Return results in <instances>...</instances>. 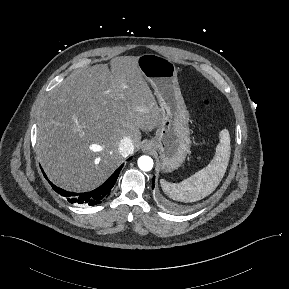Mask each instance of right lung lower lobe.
Segmentation results:
<instances>
[{"label":"right lung lower lobe","instance_id":"obj_1","mask_svg":"<svg viewBox=\"0 0 289 289\" xmlns=\"http://www.w3.org/2000/svg\"><path fill=\"white\" fill-rule=\"evenodd\" d=\"M130 157L128 160H131ZM124 164H122L109 178L103 183L100 187L95 190L84 192V193H72L65 191L54 184L50 183L52 188L62 196H65L70 203H78V204H88L90 206H94L96 204L101 203L104 197L111 191L114 186L119 172L121 171ZM43 171V170H42ZM45 178L47 179L45 173L43 172Z\"/></svg>","mask_w":289,"mask_h":289}]
</instances>
